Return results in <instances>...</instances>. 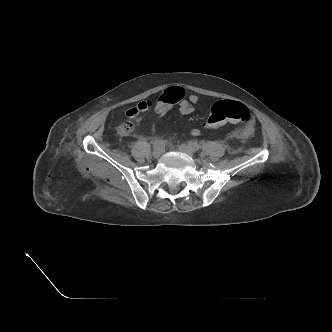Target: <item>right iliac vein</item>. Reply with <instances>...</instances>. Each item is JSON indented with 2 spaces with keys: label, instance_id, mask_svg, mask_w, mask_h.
Masks as SVG:
<instances>
[{
  "label": "right iliac vein",
  "instance_id": "right-iliac-vein-1",
  "mask_svg": "<svg viewBox=\"0 0 332 332\" xmlns=\"http://www.w3.org/2000/svg\"><path fill=\"white\" fill-rule=\"evenodd\" d=\"M161 154H162V148H161V147H158V148H156V149L153 151V156H154L155 158L160 157Z\"/></svg>",
  "mask_w": 332,
  "mask_h": 332
}]
</instances>
